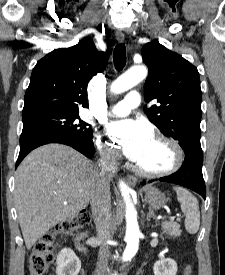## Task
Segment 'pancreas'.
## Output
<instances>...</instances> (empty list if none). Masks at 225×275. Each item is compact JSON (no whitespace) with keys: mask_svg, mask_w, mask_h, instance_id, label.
I'll use <instances>...</instances> for the list:
<instances>
[{"mask_svg":"<svg viewBox=\"0 0 225 275\" xmlns=\"http://www.w3.org/2000/svg\"><path fill=\"white\" fill-rule=\"evenodd\" d=\"M163 233H166L173 237H179L181 235L180 225L173 221H165L162 223Z\"/></svg>","mask_w":225,"mask_h":275,"instance_id":"pancreas-1","label":"pancreas"}]
</instances>
